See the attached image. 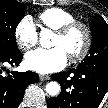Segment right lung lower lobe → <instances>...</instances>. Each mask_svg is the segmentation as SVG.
<instances>
[{"label": "right lung lower lobe", "instance_id": "obj_1", "mask_svg": "<svg viewBox=\"0 0 108 108\" xmlns=\"http://www.w3.org/2000/svg\"><path fill=\"white\" fill-rule=\"evenodd\" d=\"M23 56L17 50L8 51L0 48V108H17L21 103L25 89L28 85L38 82V74L34 72L9 73L6 65H19Z\"/></svg>", "mask_w": 108, "mask_h": 108}]
</instances>
